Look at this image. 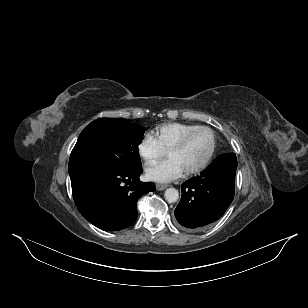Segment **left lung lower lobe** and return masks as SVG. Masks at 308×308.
<instances>
[{"instance_id":"left-lung-lower-lobe-1","label":"left lung lower lobe","mask_w":308,"mask_h":308,"mask_svg":"<svg viewBox=\"0 0 308 308\" xmlns=\"http://www.w3.org/2000/svg\"><path fill=\"white\" fill-rule=\"evenodd\" d=\"M236 168V155L223 154L199 176L182 184V197L175 209L182 227L201 230L223 216L234 198Z\"/></svg>"}]
</instances>
